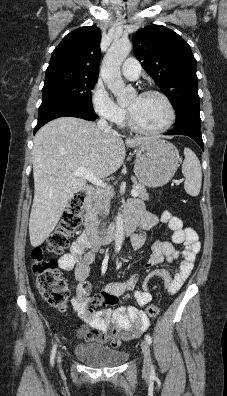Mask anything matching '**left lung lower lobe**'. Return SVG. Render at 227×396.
<instances>
[{
    "label": "left lung lower lobe",
    "instance_id": "left-lung-lower-lobe-1",
    "mask_svg": "<svg viewBox=\"0 0 227 396\" xmlns=\"http://www.w3.org/2000/svg\"><path fill=\"white\" fill-rule=\"evenodd\" d=\"M175 126L164 135H186L195 140L204 150L201 135V119L199 115V101L183 103L177 110Z\"/></svg>",
    "mask_w": 227,
    "mask_h": 396
}]
</instances>
